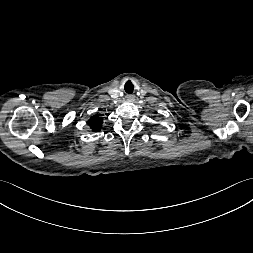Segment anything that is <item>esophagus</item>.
Segmentation results:
<instances>
[{
    "label": "esophagus",
    "instance_id": "obj_1",
    "mask_svg": "<svg viewBox=\"0 0 253 253\" xmlns=\"http://www.w3.org/2000/svg\"><path fill=\"white\" fill-rule=\"evenodd\" d=\"M126 98H127L128 101H132V100L135 99V96H134L133 94H128V95L126 96Z\"/></svg>",
    "mask_w": 253,
    "mask_h": 253
}]
</instances>
